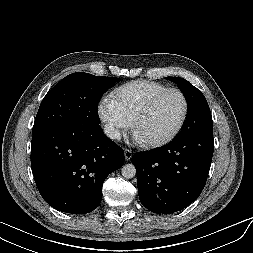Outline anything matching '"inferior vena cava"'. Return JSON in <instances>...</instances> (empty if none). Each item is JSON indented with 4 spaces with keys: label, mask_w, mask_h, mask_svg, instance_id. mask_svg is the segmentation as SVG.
<instances>
[{
    "label": "inferior vena cava",
    "mask_w": 253,
    "mask_h": 253,
    "mask_svg": "<svg viewBox=\"0 0 253 253\" xmlns=\"http://www.w3.org/2000/svg\"><path fill=\"white\" fill-rule=\"evenodd\" d=\"M104 133L112 140H120L121 134L117 128L112 124H106L104 126Z\"/></svg>",
    "instance_id": "1"
}]
</instances>
